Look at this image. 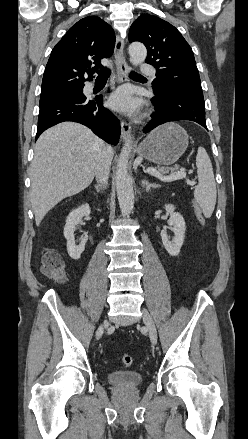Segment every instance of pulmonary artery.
<instances>
[{
    "instance_id": "1",
    "label": "pulmonary artery",
    "mask_w": 248,
    "mask_h": 439,
    "mask_svg": "<svg viewBox=\"0 0 248 439\" xmlns=\"http://www.w3.org/2000/svg\"><path fill=\"white\" fill-rule=\"evenodd\" d=\"M140 72L143 75L155 77V71H154L153 67L147 63H142L140 65Z\"/></svg>"
}]
</instances>
